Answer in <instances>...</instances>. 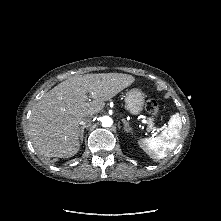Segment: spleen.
<instances>
[{
  "label": "spleen",
  "mask_w": 221,
  "mask_h": 221,
  "mask_svg": "<svg viewBox=\"0 0 221 221\" xmlns=\"http://www.w3.org/2000/svg\"><path fill=\"white\" fill-rule=\"evenodd\" d=\"M182 129L181 117L178 113L171 116L168 127L155 138H144L139 141L140 146L152 159L160 160L165 158L172 151L179 138Z\"/></svg>",
  "instance_id": "spleen-1"
}]
</instances>
